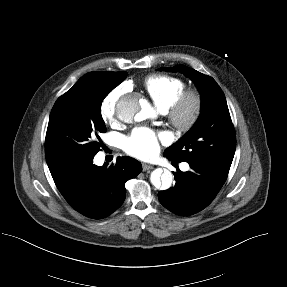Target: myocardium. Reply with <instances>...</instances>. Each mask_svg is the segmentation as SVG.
<instances>
[{"mask_svg": "<svg viewBox=\"0 0 287 287\" xmlns=\"http://www.w3.org/2000/svg\"><path fill=\"white\" fill-rule=\"evenodd\" d=\"M202 107L201 94L196 89H184L168 107L166 115L173 127L187 132L198 122Z\"/></svg>", "mask_w": 287, "mask_h": 287, "instance_id": "1", "label": "myocardium"}]
</instances>
